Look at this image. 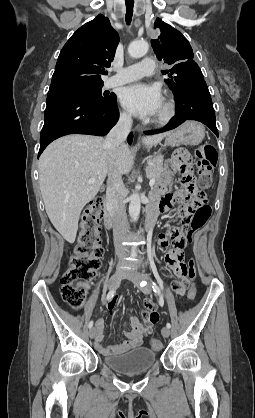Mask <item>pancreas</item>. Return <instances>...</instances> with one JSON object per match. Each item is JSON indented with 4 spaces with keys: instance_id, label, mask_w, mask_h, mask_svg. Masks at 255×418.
I'll use <instances>...</instances> for the list:
<instances>
[{
    "instance_id": "pancreas-1",
    "label": "pancreas",
    "mask_w": 255,
    "mask_h": 418,
    "mask_svg": "<svg viewBox=\"0 0 255 418\" xmlns=\"http://www.w3.org/2000/svg\"><path fill=\"white\" fill-rule=\"evenodd\" d=\"M163 160L162 155L147 160L146 175L150 179L154 178L157 184L163 172Z\"/></svg>"
}]
</instances>
